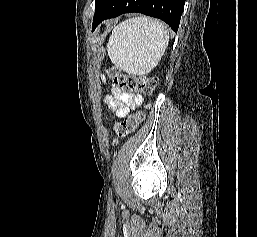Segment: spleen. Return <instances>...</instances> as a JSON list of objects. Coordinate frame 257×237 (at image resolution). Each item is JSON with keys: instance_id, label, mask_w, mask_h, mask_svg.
<instances>
[{"instance_id": "obj_1", "label": "spleen", "mask_w": 257, "mask_h": 237, "mask_svg": "<svg viewBox=\"0 0 257 237\" xmlns=\"http://www.w3.org/2000/svg\"><path fill=\"white\" fill-rule=\"evenodd\" d=\"M169 42L166 26L148 17H135L117 25L107 44L113 64L131 75L149 73Z\"/></svg>"}]
</instances>
